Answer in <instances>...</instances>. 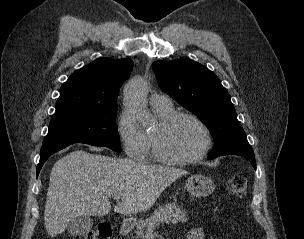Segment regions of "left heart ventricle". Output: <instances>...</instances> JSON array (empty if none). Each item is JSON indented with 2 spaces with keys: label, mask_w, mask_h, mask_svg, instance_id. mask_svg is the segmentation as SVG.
I'll use <instances>...</instances> for the list:
<instances>
[{
  "label": "left heart ventricle",
  "mask_w": 304,
  "mask_h": 239,
  "mask_svg": "<svg viewBox=\"0 0 304 239\" xmlns=\"http://www.w3.org/2000/svg\"><path fill=\"white\" fill-rule=\"evenodd\" d=\"M204 145L201 128L191 119L178 120L162 140L164 152L172 157L185 158L198 153Z\"/></svg>",
  "instance_id": "1"
}]
</instances>
